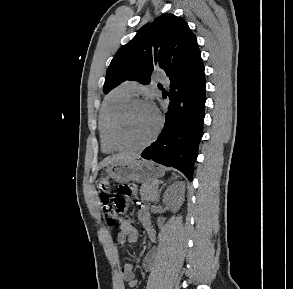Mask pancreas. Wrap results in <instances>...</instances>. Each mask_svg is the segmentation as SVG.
I'll use <instances>...</instances> for the list:
<instances>
[{"mask_svg": "<svg viewBox=\"0 0 293 289\" xmlns=\"http://www.w3.org/2000/svg\"><path fill=\"white\" fill-rule=\"evenodd\" d=\"M140 195L142 200L157 202L159 195L157 193V187L154 183H144L140 188Z\"/></svg>", "mask_w": 293, "mask_h": 289, "instance_id": "cf45deb5", "label": "pancreas"}]
</instances>
